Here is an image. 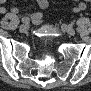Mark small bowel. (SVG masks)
<instances>
[{
  "instance_id": "1",
  "label": "small bowel",
  "mask_w": 91,
  "mask_h": 91,
  "mask_svg": "<svg viewBox=\"0 0 91 91\" xmlns=\"http://www.w3.org/2000/svg\"><path fill=\"white\" fill-rule=\"evenodd\" d=\"M37 3L39 5V7L46 8L49 4V1L48 0H37ZM85 9H86V3L82 2V1L78 2L74 7V11H76V12H81ZM6 11H7V9L5 6L0 7V13L4 14V13H6ZM11 12L14 14H18L19 10L17 8H12ZM34 17L36 18V21H40L41 15L36 14V15H34Z\"/></svg>"
}]
</instances>
